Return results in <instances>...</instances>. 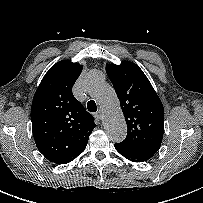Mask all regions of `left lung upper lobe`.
Listing matches in <instances>:
<instances>
[{
    "label": "left lung upper lobe",
    "mask_w": 203,
    "mask_h": 203,
    "mask_svg": "<svg viewBox=\"0 0 203 203\" xmlns=\"http://www.w3.org/2000/svg\"><path fill=\"white\" fill-rule=\"evenodd\" d=\"M106 71L128 127L123 143L154 155L164 132V108L159 96L140 67L130 61L108 64Z\"/></svg>",
    "instance_id": "left-lung-upper-lobe-1"
}]
</instances>
